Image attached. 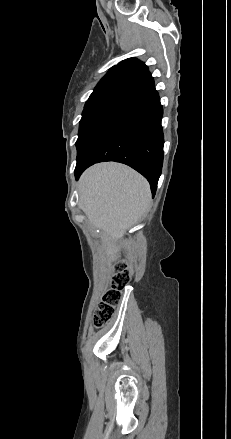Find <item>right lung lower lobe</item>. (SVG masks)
Wrapping results in <instances>:
<instances>
[{
  "instance_id": "1",
  "label": "right lung lower lobe",
  "mask_w": 231,
  "mask_h": 439,
  "mask_svg": "<svg viewBox=\"0 0 231 439\" xmlns=\"http://www.w3.org/2000/svg\"><path fill=\"white\" fill-rule=\"evenodd\" d=\"M140 116L120 123L99 138L75 168L76 179L90 165L116 161L131 166L150 183L154 197L163 164V115L154 85L135 96Z\"/></svg>"
}]
</instances>
